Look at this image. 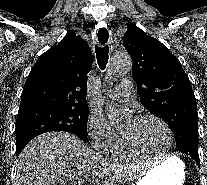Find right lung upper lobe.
I'll use <instances>...</instances> for the list:
<instances>
[{
	"label": "right lung upper lobe",
	"instance_id": "cb5924a9",
	"mask_svg": "<svg viewBox=\"0 0 207 185\" xmlns=\"http://www.w3.org/2000/svg\"><path fill=\"white\" fill-rule=\"evenodd\" d=\"M91 67L89 45L69 30L58 45L39 57L30 71L19 111L38 107L89 111L86 94Z\"/></svg>",
	"mask_w": 207,
	"mask_h": 185
}]
</instances>
